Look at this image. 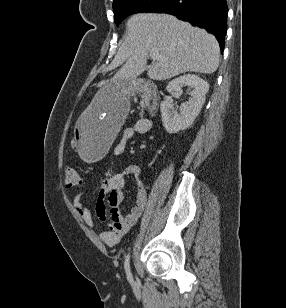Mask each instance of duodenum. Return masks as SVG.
Instances as JSON below:
<instances>
[{"instance_id": "obj_1", "label": "duodenum", "mask_w": 286, "mask_h": 308, "mask_svg": "<svg viewBox=\"0 0 286 308\" xmlns=\"http://www.w3.org/2000/svg\"><path fill=\"white\" fill-rule=\"evenodd\" d=\"M133 89L136 92H144L147 94L149 100V109L151 113H156L159 107V93L156 84L147 79H137L133 83Z\"/></svg>"}]
</instances>
